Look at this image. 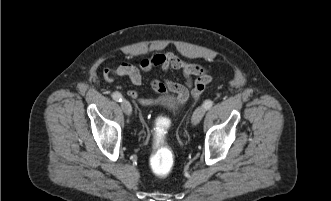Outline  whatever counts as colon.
<instances>
[{
  "instance_id": "1",
  "label": "colon",
  "mask_w": 331,
  "mask_h": 201,
  "mask_svg": "<svg viewBox=\"0 0 331 201\" xmlns=\"http://www.w3.org/2000/svg\"><path fill=\"white\" fill-rule=\"evenodd\" d=\"M210 81L209 75L200 76L192 90L194 99H198ZM169 122L166 118L161 117L156 120L155 124V145L151 155L150 164L153 173L159 177H164L170 173L174 163V157L171 150L164 143V136Z\"/></svg>"
}]
</instances>
